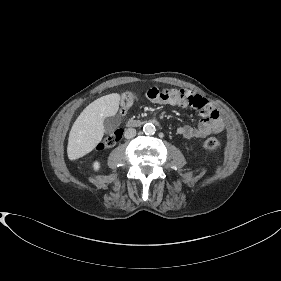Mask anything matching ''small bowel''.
Masks as SVG:
<instances>
[{
	"label": "small bowel",
	"mask_w": 281,
	"mask_h": 281,
	"mask_svg": "<svg viewBox=\"0 0 281 281\" xmlns=\"http://www.w3.org/2000/svg\"><path fill=\"white\" fill-rule=\"evenodd\" d=\"M153 103L171 105L181 108L193 107L202 115L197 127L181 126L177 133L184 138H206L224 129V122L220 112L204 97L185 89H157L151 88L146 93Z\"/></svg>",
	"instance_id": "c3829d8e"
}]
</instances>
